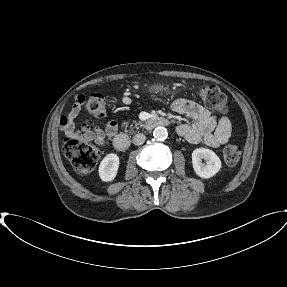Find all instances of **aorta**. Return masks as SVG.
<instances>
[{
  "label": "aorta",
  "mask_w": 287,
  "mask_h": 287,
  "mask_svg": "<svg viewBox=\"0 0 287 287\" xmlns=\"http://www.w3.org/2000/svg\"><path fill=\"white\" fill-rule=\"evenodd\" d=\"M153 136L157 140H165L168 136L167 129L164 127H156L153 131Z\"/></svg>",
  "instance_id": "762f6f07"
}]
</instances>
